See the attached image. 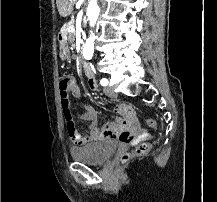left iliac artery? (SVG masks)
Listing matches in <instances>:
<instances>
[{
    "instance_id": "left-iliac-artery-1",
    "label": "left iliac artery",
    "mask_w": 217,
    "mask_h": 202,
    "mask_svg": "<svg viewBox=\"0 0 217 202\" xmlns=\"http://www.w3.org/2000/svg\"><path fill=\"white\" fill-rule=\"evenodd\" d=\"M100 84L102 86H107L108 85V80L106 78L101 79Z\"/></svg>"
}]
</instances>
